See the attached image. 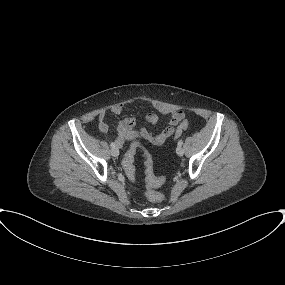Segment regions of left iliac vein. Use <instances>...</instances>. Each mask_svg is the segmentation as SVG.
<instances>
[{
    "instance_id": "4c4485c4",
    "label": "left iliac vein",
    "mask_w": 285,
    "mask_h": 285,
    "mask_svg": "<svg viewBox=\"0 0 285 285\" xmlns=\"http://www.w3.org/2000/svg\"><path fill=\"white\" fill-rule=\"evenodd\" d=\"M176 153H177L179 156H183V154H184L183 148H182L181 146H178V147L176 148Z\"/></svg>"
}]
</instances>
